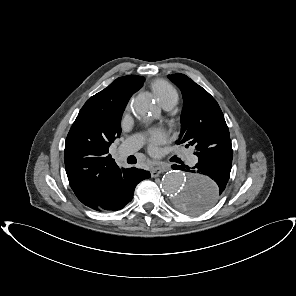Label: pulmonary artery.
<instances>
[{"instance_id": "obj_1", "label": "pulmonary artery", "mask_w": 296, "mask_h": 296, "mask_svg": "<svg viewBox=\"0 0 296 296\" xmlns=\"http://www.w3.org/2000/svg\"><path fill=\"white\" fill-rule=\"evenodd\" d=\"M175 104H170L165 106V109H171ZM143 139L139 135H134L127 138L118 149V157L123 159L128 155L136 152L142 145ZM186 161L189 165H195L198 162V157L193 153H188L186 156Z\"/></svg>"}]
</instances>
